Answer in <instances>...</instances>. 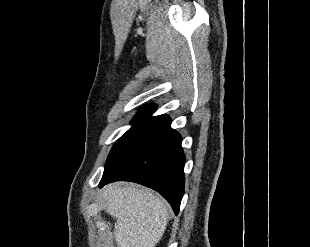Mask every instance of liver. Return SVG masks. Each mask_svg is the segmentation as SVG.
Returning <instances> with one entry per match:
<instances>
[{
    "mask_svg": "<svg viewBox=\"0 0 310 247\" xmlns=\"http://www.w3.org/2000/svg\"><path fill=\"white\" fill-rule=\"evenodd\" d=\"M105 211L116 223L117 247H155L168 223L167 203L147 188L115 182L102 189Z\"/></svg>",
    "mask_w": 310,
    "mask_h": 247,
    "instance_id": "1",
    "label": "liver"
}]
</instances>
